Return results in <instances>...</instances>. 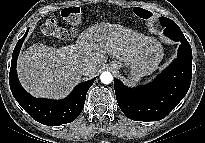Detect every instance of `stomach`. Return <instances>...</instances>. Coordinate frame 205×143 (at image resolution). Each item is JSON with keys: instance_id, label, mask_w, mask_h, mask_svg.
<instances>
[{"instance_id": "1", "label": "stomach", "mask_w": 205, "mask_h": 143, "mask_svg": "<svg viewBox=\"0 0 205 143\" xmlns=\"http://www.w3.org/2000/svg\"><path fill=\"white\" fill-rule=\"evenodd\" d=\"M158 60H160L162 56V49L160 47L156 48L155 53L153 54ZM111 66L114 69H118L120 67H124L125 71L128 73V82L129 83H138L144 76H146L150 70H149V65H143V64H138V65H129V64H122L119 61H113L111 63Z\"/></svg>"}]
</instances>
